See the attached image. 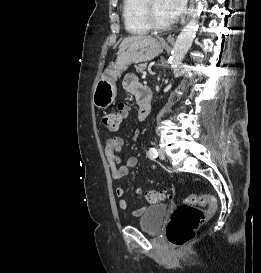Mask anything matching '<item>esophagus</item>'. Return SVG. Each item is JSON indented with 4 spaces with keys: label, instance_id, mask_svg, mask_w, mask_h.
Returning <instances> with one entry per match:
<instances>
[{
    "label": "esophagus",
    "instance_id": "esophagus-1",
    "mask_svg": "<svg viewBox=\"0 0 261 273\" xmlns=\"http://www.w3.org/2000/svg\"><path fill=\"white\" fill-rule=\"evenodd\" d=\"M194 3H195V0H190V7H189L188 19H189V17L191 16V14L193 13V10H194ZM167 41H168L169 43H173L174 37L168 36Z\"/></svg>",
    "mask_w": 261,
    "mask_h": 273
}]
</instances>
